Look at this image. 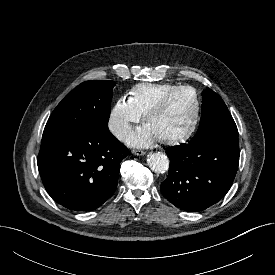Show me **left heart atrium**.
Listing matches in <instances>:
<instances>
[{
  "mask_svg": "<svg viewBox=\"0 0 275 275\" xmlns=\"http://www.w3.org/2000/svg\"><path fill=\"white\" fill-rule=\"evenodd\" d=\"M158 140L152 128L146 124L133 131L127 138V143L134 147H147Z\"/></svg>",
  "mask_w": 275,
  "mask_h": 275,
  "instance_id": "1",
  "label": "left heart atrium"
}]
</instances>
